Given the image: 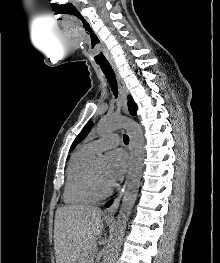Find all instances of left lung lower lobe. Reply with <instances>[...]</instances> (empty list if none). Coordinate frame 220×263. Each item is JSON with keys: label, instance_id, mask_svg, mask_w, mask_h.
Listing matches in <instances>:
<instances>
[{"label": "left lung lower lobe", "instance_id": "1", "mask_svg": "<svg viewBox=\"0 0 220 263\" xmlns=\"http://www.w3.org/2000/svg\"><path fill=\"white\" fill-rule=\"evenodd\" d=\"M111 203H112V201H109V202H107V203H106V205H105V206H106V207H108V206H110V205H111Z\"/></svg>", "mask_w": 220, "mask_h": 263}]
</instances>
